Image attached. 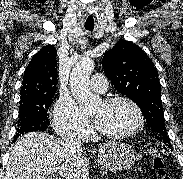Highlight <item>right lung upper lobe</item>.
Listing matches in <instances>:
<instances>
[{
  "label": "right lung upper lobe",
  "mask_w": 183,
  "mask_h": 179,
  "mask_svg": "<svg viewBox=\"0 0 183 179\" xmlns=\"http://www.w3.org/2000/svg\"><path fill=\"white\" fill-rule=\"evenodd\" d=\"M56 55L54 45H47L33 56L24 72L20 102L54 96L58 83Z\"/></svg>",
  "instance_id": "1"
}]
</instances>
